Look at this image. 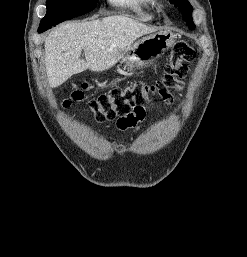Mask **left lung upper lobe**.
I'll return each instance as SVG.
<instances>
[{
  "mask_svg": "<svg viewBox=\"0 0 247 257\" xmlns=\"http://www.w3.org/2000/svg\"><path fill=\"white\" fill-rule=\"evenodd\" d=\"M170 1L179 7V10L181 11L183 18L187 22V25L189 26V28L195 29V25L191 17L193 8L191 4L188 2V0H170Z\"/></svg>",
  "mask_w": 247,
  "mask_h": 257,
  "instance_id": "obj_1",
  "label": "left lung upper lobe"
}]
</instances>
